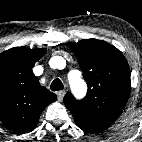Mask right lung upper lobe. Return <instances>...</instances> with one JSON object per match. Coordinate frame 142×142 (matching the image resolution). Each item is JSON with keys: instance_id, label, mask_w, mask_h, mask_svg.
<instances>
[{"instance_id": "right-lung-upper-lobe-1", "label": "right lung upper lobe", "mask_w": 142, "mask_h": 142, "mask_svg": "<svg viewBox=\"0 0 142 142\" xmlns=\"http://www.w3.org/2000/svg\"><path fill=\"white\" fill-rule=\"evenodd\" d=\"M45 52L14 47L0 54V121L20 134L31 132L45 107L57 98L32 71Z\"/></svg>"}]
</instances>
